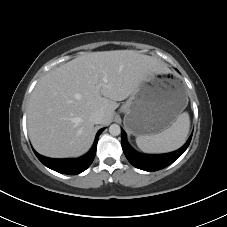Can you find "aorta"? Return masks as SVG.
<instances>
[{"label": "aorta", "instance_id": "obj_1", "mask_svg": "<svg viewBox=\"0 0 227 227\" xmlns=\"http://www.w3.org/2000/svg\"><path fill=\"white\" fill-rule=\"evenodd\" d=\"M109 133L113 136H118L121 133V128L118 124H112L109 127Z\"/></svg>", "mask_w": 227, "mask_h": 227}]
</instances>
